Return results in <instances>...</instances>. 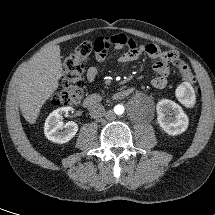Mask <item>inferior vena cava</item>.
Segmentation results:
<instances>
[{
    "label": "inferior vena cava",
    "mask_w": 215,
    "mask_h": 215,
    "mask_svg": "<svg viewBox=\"0 0 215 215\" xmlns=\"http://www.w3.org/2000/svg\"><path fill=\"white\" fill-rule=\"evenodd\" d=\"M105 115V108L102 104H94L90 107V116L94 119H99Z\"/></svg>",
    "instance_id": "obj_1"
}]
</instances>
